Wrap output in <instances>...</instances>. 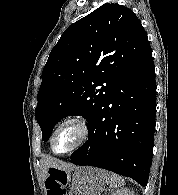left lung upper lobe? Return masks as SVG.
<instances>
[{
  "mask_svg": "<svg viewBox=\"0 0 178 195\" xmlns=\"http://www.w3.org/2000/svg\"><path fill=\"white\" fill-rule=\"evenodd\" d=\"M149 52L140 20L116 3H105L69 26L42 72L35 112L42 140L67 116L80 115L89 126L118 79Z\"/></svg>",
  "mask_w": 178,
  "mask_h": 195,
  "instance_id": "left-lung-upper-lobe-1",
  "label": "left lung upper lobe"
}]
</instances>
